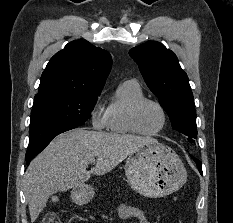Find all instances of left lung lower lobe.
<instances>
[{
	"mask_svg": "<svg viewBox=\"0 0 233 223\" xmlns=\"http://www.w3.org/2000/svg\"><path fill=\"white\" fill-rule=\"evenodd\" d=\"M191 157L193 158V160H194L195 163L197 164L198 170H199V172H200L201 175H202V164H201V162H200L198 159H196L195 157H193V156H191Z\"/></svg>",
	"mask_w": 233,
	"mask_h": 223,
	"instance_id": "left-lung-lower-lobe-1",
	"label": "left lung lower lobe"
}]
</instances>
